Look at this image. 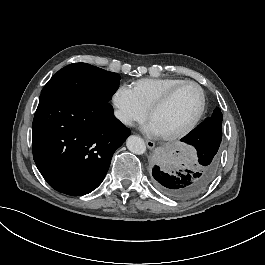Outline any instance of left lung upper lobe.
Instances as JSON below:
<instances>
[{
    "label": "left lung upper lobe",
    "mask_w": 265,
    "mask_h": 265,
    "mask_svg": "<svg viewBox=\"0 0 265 265\" xmlns=\"http://www.w3.org/2000/svg\"><path fill=\"white\" fill-rule=\"evenodd\" d=\"M222 113L219 108H216L212 114V116L205 119L202 124H206L210 127H213L217 131L222 132Z\"/></svg>",
    "instance_id": "left-lung-upper-lobe-1"
}]
</instances>
